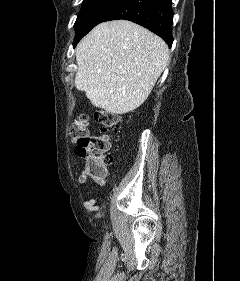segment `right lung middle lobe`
Instances as JSON below:
<instances>
[{"label":"right lung middle lobe","mask_w":240,"mask_h":281,"mask_svg":"<svg viewBox=\"0 0 240 281\" xmlns=\"http://www.w3.org/2000/svg\"><path fill=\"white\" fill-rule=\"evenodd\" d=\"M118 0H84L82 8L75 22V39L74 45L87 34L103 14L112 7Z\"/></svg>","instance_id":"1"}]
</instances>
